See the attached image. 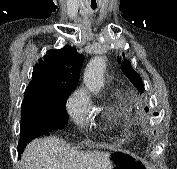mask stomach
I'll return each instance as SVG.
<instances>
[{"instance_id":"stomach-1","label":"stomach","mask_w":177,"mask_h":169,"mask_svg":"<svg viewBox=\"0 0 177 169\" xmlns=\"http://www.w3.org/2000/svg\"><path fill=\"white\" fill-rule=\"evenodd\" d=\"M119 169H148L146 164L139 160L135 155L128 153H116L111 156Z\"/></svg>"}]
</instances>
